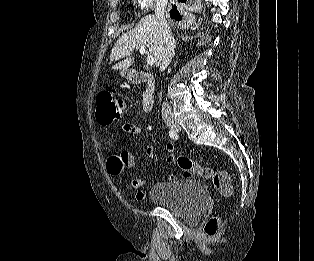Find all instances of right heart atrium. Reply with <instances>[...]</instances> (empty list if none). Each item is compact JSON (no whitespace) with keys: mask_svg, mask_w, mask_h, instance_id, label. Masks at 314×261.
Segmentation results:
<instances>
[{"mask_svg":"<svg viewBox=\"0 0 314 261\" xmlns=\"http://www.w3.org/2000/svg\"><path fill=\"white\" fill-rule=\"evenodd\" d=\"M138 8L143 11L149 10L158 0H134Z\"/></svg>","mask_w":314,"mask_h":261,"instance_id":"obj_1","label":"right heart atrium"}]
</instances>
